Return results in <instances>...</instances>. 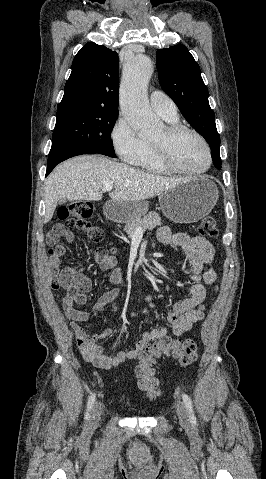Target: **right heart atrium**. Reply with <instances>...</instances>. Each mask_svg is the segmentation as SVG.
I'll list each match as a JSON object with an SVG mask.
<instances>
[{
  "label": "right heart atrium",
  "mask_w": 266,
  "mask_h": 479,
  "mask_svg": "<svg viewBox=\"0 0 266 479\" xmlns=\"http://www.w3.org/2000/svg\"><path fill=\"white\" fill-rule=\"evenodd\" d=\"M110 137L115 152L124 162L135 164L145 152V140L122 115L115 121Z\"/></svg>",
  "instance_id": "d8ad5b80"
}]
</instances>
